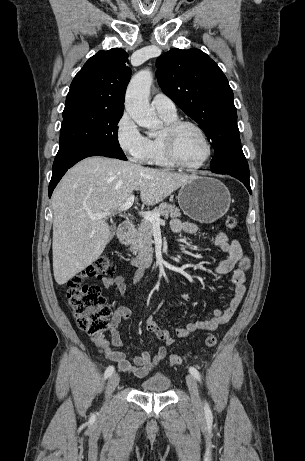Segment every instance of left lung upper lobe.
<instances>
[{"instance_id": "left-lung-upper-lobe-1", "label": "left lung upper lobe", "mask_w": 305, "mask_h": 461, "mask_svg": "<svg viewBox=\"0 0 305 461\" xmlns=\"http://www.w3.org/2000/svg\"><path fill=\"white\" fill-rule=\"evenodd\" d=\"M158 83L205 132L214 147V173L249 174L241 148L234 96L218 65L199 49H172L157 59Z\"/></svg>"}]
</instances>
